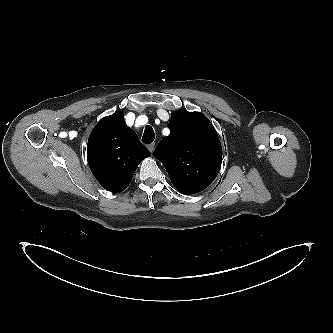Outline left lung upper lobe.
<instances>
[{
    "label": "left lung upper lobe",
    "mask_w": 333,
    "mask_h": 333,
    "mask_svg": "<svg viewBox=\"0 0 333 333\" xmlns=\"http://www.w3.org/2000/svg\"><path fill=\"white\" fill-rule=\"evenodd\" d=\"M168 126L170 135L157 145L154 156L179 192L189 195L204 190L222 163V148L213 125L202 113L175 111Z\"/></svg>",
    "instance_id": "5c2ea615"
}]
</instances>
